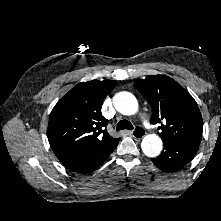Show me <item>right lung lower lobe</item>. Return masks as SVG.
I'll list each match as a JSON object with an SVG mask.
<instances>
[{"label":"right lung lower lobe","instance_id":"1","mask_svg":"<svg viewBox=\"0 0 221 221\" xmlns=\"http://www.w3.org/2000/svg\"><path fill=\"white\" fill-rule=\"evenodd\" d=\"M117 144L99 153H89L62 162L70 170L78 173L89 174L100 167L116 148Z\"/></svg>","mask_w":221,"mask_h":221}]
</instances>
